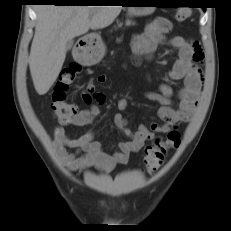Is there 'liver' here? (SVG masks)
Wrapping results in <instances>:
<instances>
[{
	"label": "liver",
	"mask_w": 231,
	"mask_h": 231,
	"mask_svg": "<svg viewBox=\"0 0 231 231\" xmlns=\"http://www.w3.org/2000/svg\"><path fill=\"white\" fill-rule=\"evenodd\" d=\"M29 56L34 87L46 94L57 79L66 57V44L89 29H102L116 19L122 6L39 5ZM90 15H92L90 19Z\"/></svg>",
	"instance_id": "6515ba94"
}]
</instances>
